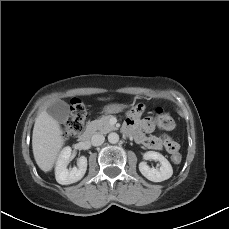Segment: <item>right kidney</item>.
I'll list each match as a JSON object with an SVG mask.
<instances>
[{
    "instance_id": "obj_1",
    "label": "right kidney",
    "mask_w": 229,
    "mask_h": 229,
    "mask_svg": "<svg viewBox=\"0 0 229 229\" xmlns=\"http://www.w3.org/2000/svg\"><path fill=\"white\" fill-rule=\"evenodd\" d=\"M72 149L67 146L64 147L58 157L55 167L56 181L62 185H68L81 180L87 170V158L81 156L78 159V168L73 167L71 170L67 168L70 160Z\"/></svg>"
}]
</instances>
